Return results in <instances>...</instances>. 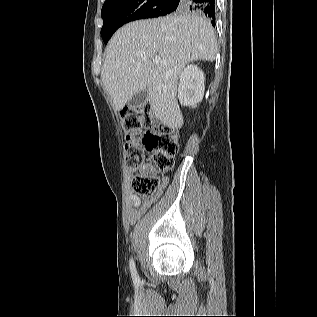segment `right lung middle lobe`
<instances>
[{
    "label": "right lung middle lobe",
    "instance_id": "obj_1",
    "mask_svg": "<svg viewBox=\"0 0 317 317\" xmlns=\"http://www.w3.org/2000/svg\"><path fill=\"white\" fill-rule=\"evenodd\" d=\"M172 2L173 0H106L101 10L104 22L101 36L104 43L108 42L119 27L130 21L180 12L178 7L172 6Z\"/></svg>",
    "mask_w": 317,
    "mask_h": 317
}]
</instances>
